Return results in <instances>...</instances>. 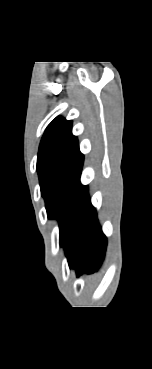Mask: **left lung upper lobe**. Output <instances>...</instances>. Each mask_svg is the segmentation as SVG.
I'll use <instances>...</instances> for the list:
<instances>
[{
	"label": "left lung upper lobe",
	"instance_id": "obj_1",
	"mask_svg": "<svg viewBox=\"0 0 152 369\" xmlns=\"http://www.w3.org/2000/svg\"><path fill=\"white\" fill-rule=\"evenodd\" d=\"M83 161L77 137L72 134V121L55 118L42 137L37 171L48 218H57L59 222L61 245L82 188Z\"/></svg>",
	"mask_w": 152,
	"mask_h": 369
}]
</instances>
